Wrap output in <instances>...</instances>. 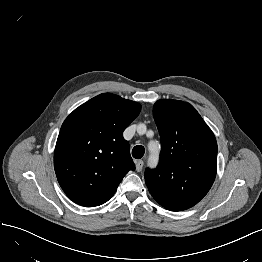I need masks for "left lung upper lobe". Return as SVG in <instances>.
<instances>
[{
    "mask_svg": "<svg viewBox=\"0 0 262 262\" xmlns=\"http://www.w3.org/2000/svg\"><path fill=\"white\" fill-rule=\"evenodd\" d=\"M153 116L162 148L158 167L145 171L146 185L164 208L186 210L207 194L215 180V136L188 102L158 100Z\"/></svg>",
    "mask_w": 262,
    "mask_h": 262,
    "instance_id": "left-lung-upper-lobe-1",
    "label": "left lung upper lobe"
}]
</instances>
